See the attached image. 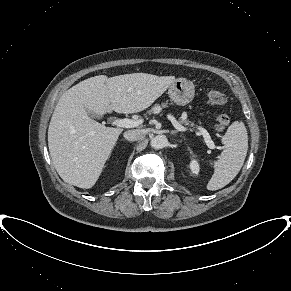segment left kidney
<instances>
[{"label":"left kidney","instance_id":"left-kidney-1","mask_svg":"<svg viewBox=\"0 0 291 291\" xmlns=\"http://www.w3.org/2000/svg\"><path fill=\"white\" fill-rule=\"evenodd\" d=\"M190 169L195 175H198V173L200 171V167H199V163L197 160L192 159L190 161Z\"/></svg>","mask_w":291,"mask_h":291}]
</instances>
